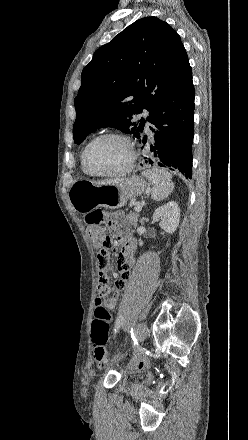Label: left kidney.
<instances>
[{
  "label": "left kidney",
  "mask_w": 248,
  "mask_h": 440,
  "mask_svg": "<svg viewBox=\"0 0 248 440\" xmlns=\"http://www.w3.org/2000/svg\"><path fill=\"white\" fill-rule=\"evenodd\" d=\"M153 220L159 222V226L169 234H173L180 220V209L175 201H170L155 210Z\"/></svg>",
  "instance_id": "left-kidney-1"
}]
</instances>
